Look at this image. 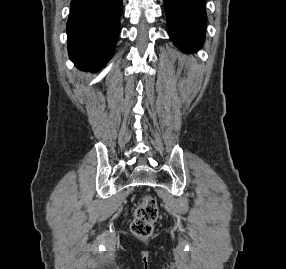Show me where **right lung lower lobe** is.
Returning a JSON list of instances; mask_svg holds the SVG:
<instances>
[{"label": "right lung lower lobe", "mask_w": 286, "mask_h": 269, "mask_svg": "<svg viewBox=\"0 0 286 269\" xmlns=\"http://www.w3.org/2000/svg\"><path fill=\"white\" fill-rule=\"evenodd\" d=\"M122 0H72L67 22L70 59L81 69L97 70L114 54Z\"/></svg>", "instance_id": "98d812e1"}]
</instances>
